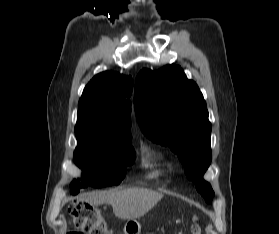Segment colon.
Returning a JSON list of instances; mask_svg holds the SVG:
<instances>
[{
  "label": "colon",
  "instance_id": "5ec220e1",
  "mask_svg": "<svg viewBox=\"0 0 279 234\" xmlns=\"http://www.w3.org/2000/svg\"><path fill=\"white\" fill-rule=\"evenodd\" d=\"M74 231L69 234H114L102 212L91 205H80L73 210ZM193 234H200L197 224L192 226Z\"/></svg>",
  "mask_w": 279,
  "mask_h": 234
}]
</instances>
